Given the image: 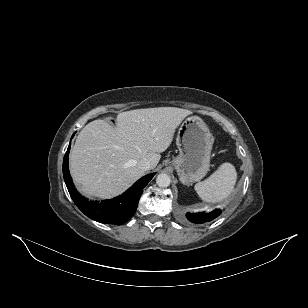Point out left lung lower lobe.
Returning <instances> with one entry per match:
<instances>
[{
    "mask_svg": "<svg viewBox=\"0 0 308 308\" xmlns=\"http://www.w3.org/2000/svg\"><path fill=\"white\" fill-rule=\"evenodd\" d=\"M220 214H221V210L215 209L209 213H200V214L187 213L186 217L192 223L202 224L205 222L212 221L213 219L218 217Z\"/></svg>",
    "mask_w": 308,
    "mask_h": 308,
    "instance_id": "left-lung-lower-lobe-1",
    "label": "left lung lower lobe"
}]
</instances>
